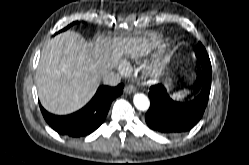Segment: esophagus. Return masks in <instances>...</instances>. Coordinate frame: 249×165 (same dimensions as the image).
Here are the masks:
<instances>
[{
	"instance_id": "1",
	"label": "esophagus",
	"mask_w": 249,
	"mask_h": 165,
	"mask_svg": "<svg viewBox=\"0 0 249 165\" xmlns=\"http://www.w3.org/2000/svg\"><path fill=\"white\" fill-rule=\"evenodd\" d=\"M136 91V88H135V86H133V85H127V86H125V88H124V92L126 93V94H132V93H134Z\"/></svg>"
}]
</instances>
